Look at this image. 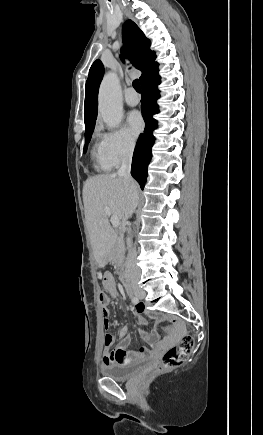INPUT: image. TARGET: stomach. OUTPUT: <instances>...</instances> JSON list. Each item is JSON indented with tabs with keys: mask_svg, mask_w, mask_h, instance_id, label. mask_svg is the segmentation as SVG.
<instances>
[{
	"mask_svg": "<svg viewBox=\"0 0 263 435\" xmlns=\"http://www.w3.org/2000/svg\"><path fill=\"white\" fill-rule=\"evenodd\" d=\"M106 262H107V259H105L103 262H101L99 265L100 266H104L105 264H106Z\"/></svg>",
	"mask_w": 263,
	"mask_h": 435,
	"instance_id": "obj_1",
	"label": "stomach"
}]
</instances>
